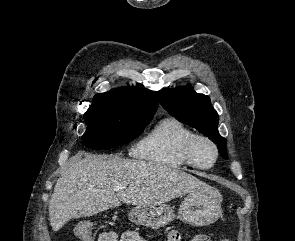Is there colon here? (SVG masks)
Returning a JSON list of instances; mask_svg holds the SVG:
<instances>
[{
	"label": "colon",
	"instance_id": "5ec220e1",
	"mask_svg": "<svg viewBox=\"0 0 295 241\" xmlns=\"http://www.w3.org/2000/svg\"><path fill=\"white\" fill-rule=\"evenodd\" d=\"M91 234H92V225L89 224L87 225L84 230L82 231V233L80 234L81 238L83 241H91ZM176 239L178 241L181 240V235L180 237H176ZM220 241H232V240H229V239H221Z\"/></svg>",
	"mask_w": 295,
	"mask_h": 241
}]
</instances>
